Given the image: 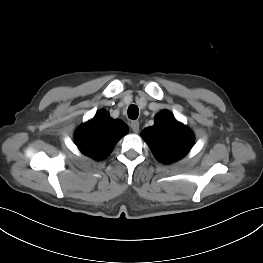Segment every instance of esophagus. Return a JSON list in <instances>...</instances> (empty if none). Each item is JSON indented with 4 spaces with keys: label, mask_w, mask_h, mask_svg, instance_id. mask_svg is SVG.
I'll use <instances>...</instances> for the list:
<instances>
[{
    "label": "esophagus",
    "mask_w": 263,
    "mask_h": 263,
    "mask_svg": "<svg viewBox=\"0 0 263 263\" xmlns=\"http://www.w3.org/2000/svg\"><path fill=\"white\" fill-rule=\"evenodd\" d=\"M131 129L133 130V132L138 133L139 132V122L138 121H132L131 124Z\"/></svg>",
    "instance_id": "esophagus-1"
}]
</instances>
